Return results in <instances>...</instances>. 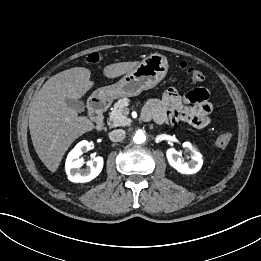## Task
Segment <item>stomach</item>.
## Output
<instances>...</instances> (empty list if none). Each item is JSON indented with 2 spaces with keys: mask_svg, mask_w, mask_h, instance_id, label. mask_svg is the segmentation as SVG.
<instances>
[{
  "mask_svg": "<svg viewBox=\"0 0 261 261\" xmlns=\"http://www.w3.org/2000/svg\"><path fill=\"white\" fill-rule=\"evenodd\" d=\"M168 61L164 55L154 53L127 72L115 84L99 88L93 97L112 101L121 97H133L155 87L167 74Z\"/></svg>",
  "mask_w": 261,
  "mask_h": 261,
  "instance_id": "1",
  "label": "stomach"
}]
</instances>
